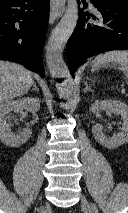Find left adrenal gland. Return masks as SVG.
<instances>
[{
    "label": "left adrenal gland",
    "instance_id": "left-adrenal-gland-1",
    "mask_svg": "<svg viewBox=\"0 0 128 213\" xmlns=\"http://www.w3.org/2000/svg\"><path fill=\"white\" fill-rule=\"evenodd\" d=\"M84 84H85L84 93H86V92H88V91H93V90L89 87V85H88L87 82H85Z\"/></svg>",
    "mask_w": 128,
    "mask_h": 213
}]
</instances>
